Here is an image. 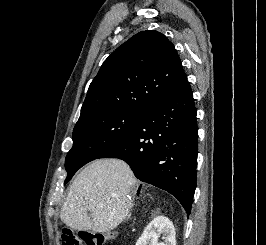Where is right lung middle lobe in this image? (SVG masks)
I'll return each mask as SVG.
<instances>
[{
    "label": "right lung middle lobe",
    "instance_id": "1",
    "mask_svg": "<svg viewBox=\"0 0 266 245\" xmlns=\"http://www.w3.org/2000/svg\"><path fill=\"white\" fill-rule=\"evenodd\" d=\"M145 111L108 108L79 118L73 130V147L65 161L66 184L86 163L122 142L135 128Z\"/></svg>",
    "mask_w": 266,
    "mask_h": 245
}]
</instances>
